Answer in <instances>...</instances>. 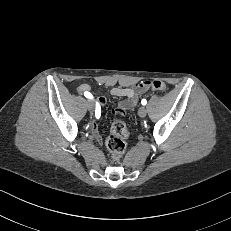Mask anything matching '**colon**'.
<instances>
[{"label":"colon","mask_w":231,"mask_h":231,"mask_svg":"<svg viewBox=\"0 0 231 231\" xmlns=\"http://www.w3.org/2000/svg\"><path fill=\"white\" fill-rule=\"evenodd\" d=\"M148 87L154 91L167 90L166 84L159 80L148 82ZM129 136L130 132L125 124L119 119L114 120L110 129V134L106 140L110 161L116 162L122 157L126 149L125 140Z\"/></svg>","instance_id":"5ec220e1"}]
</instances>
